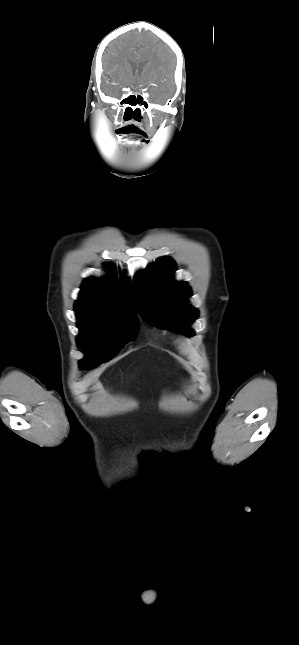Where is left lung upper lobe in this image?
<instances>
[{
  "label": "left lung upper lobe",
  "mask_w": 299,
  "mask_h": 645,
  "mask_svg": "<svg viewBox=\"0 0 299 645\" xmlns=\"http://www.w3.org/2000/svg\"><path fill=\"white\" fill-rule=\"evenodd\" d=\"M175 264L161 258L137 273L134 278V300L141 316L151 325L192 336L187 324L198 317V311L186 304L191 296L187 282H175Z\"/></svg>",
  "instance_id": "obj_1"
}]
</instances>
